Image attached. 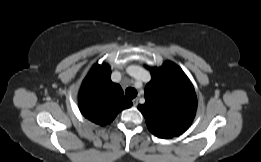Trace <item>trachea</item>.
<instances>
[{
    "label": "trachea",
    "instance_id": "3493384b",
    "mask_svg": "<svg viewBox=\"0 0 261 162\" xmlns=\"http://www.w3.org/2000/svg\"><path fill=\"white\" fill-rule=\"evenodd\" d=\"M125 95L128 99H133L137 96V91L134 88L129 87L125 90Z\"/></svg>",
    "mask_w": 261,
    "mask_h": 162
}]
</instances>
